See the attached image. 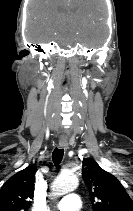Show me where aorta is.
<instances>
[{
  "instance_id": "aorta-1",
  "label": "aorta",
  "mask_w": 133,
  "mask_h": 211,
  "mask_svg": "<svg viewBox=\"0 0 133 211\" xmlns=\"http://www.w3.org/2000/svg\"><path fill=\"white\" fill-rule=\"evenodd\" d=\"M78 179L72 175H63L57 177L51 186L52 195L55 197L62 196L78 187Z\"/></svg>"
}]
</instances>
